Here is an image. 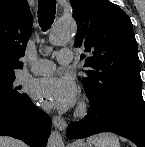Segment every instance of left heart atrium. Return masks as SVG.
<instances>
[{
    "label": "left heart atrium",
    "instance_id": "1",
    "mask_svg": "<svg viewBox=\"0 0 145 147\" xmlns=\"http://www.w3.org/2000/svg\"><path fill=\"white\" fill-rule=\"evenodd\" d=\"M77 89L72 77H46L35 82L32 95L45 107L66 110L76 100Z\"/></svg>",
    "mask_w": 145,
    "mask_h": 147
}]
</instances>
